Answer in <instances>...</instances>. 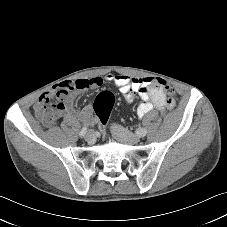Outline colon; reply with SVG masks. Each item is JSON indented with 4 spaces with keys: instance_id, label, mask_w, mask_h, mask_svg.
<instances>
[{
    "instance_id": "obj_1",
    "label": "colon",
    "mask_w": 227,
    "mask_h": 227,
    "mask_svg": "<svg viewBox=\"0 0 227 227\" xmlns=\"http://www.w3.org/2000/svg\"><path fill=\"white\" fill-rule=\"evenodd\" d=\"M159 83L161 84L163 90L171 95L172 94V89L171 87L164 81H159ZM114 95L109 92V91H102L100 92L94 102V110L96 113V116L98 118V120L104 124L106 123L109 114L111 112V109L114 105Z\"/></svg>"
}]
</instances>
